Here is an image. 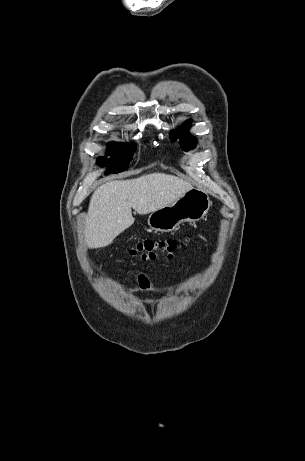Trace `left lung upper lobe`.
<instances>
[{
  "mask_svg": "<svg viewBox=\"0 0 305 461\" xmlns=\"http://www.w3.org/2000/svg\"><path fill=\"white\" fill-rule=\"evenodd\" d=\"M191 120L186 121L178 130L172 131L170 133V138L172 141H175L177 138H180V144L184 150H189L195 147L196 139L190 136L188 132L190 128Z\"/></svg>",
  "mask_w": 305,
  "mask_h": 461,
  "instance_id": "1",
  "label": "left lung upper lobe"
}]
</instances>
